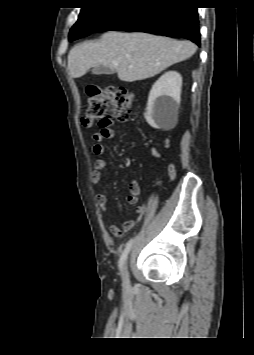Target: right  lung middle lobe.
<instances>
[{
    "mask_svg": "<svg viewBox=\"0 0 254 355\" xmlns=\"http://www.w3.org/2000/svg\"><path fill=\"white\" fill-rule=\"evenodd\" d=\"M123 3L115 0H97L82 7L77 22L71 28L69 41L95 32Z\"/></svg>",
    "mask_w": 254,
    "mask_h": 355,
    "instance_id": "obj_1",
    "label": "right lung middle lobe"
}]
</instances>
